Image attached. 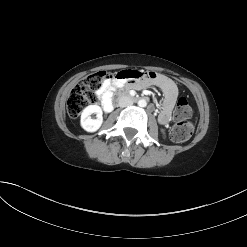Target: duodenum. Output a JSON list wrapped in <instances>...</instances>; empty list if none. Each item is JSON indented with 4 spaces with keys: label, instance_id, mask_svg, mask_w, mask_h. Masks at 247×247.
<instances>
[{
    "label": "duodenum",
    "instance_id": "duodenum-1",
    "mask_svg": "<svg viewBox=\"0 0 247 247\" xmlns=\"http://www.w3.org/2000/svg\"><path fill=\"white\" fill-rule=\"evenodd\" d=\"M124 96H127L129 99H134V100L137 99L142 100L143 98V97L137 98L136 96H130L129 91L127 89H121L120 91H117L115 95H113V106H118L119 99Z\"/></svg>",
    "mask_w": 247,
    "mask_h": 247
}]
</instances>
